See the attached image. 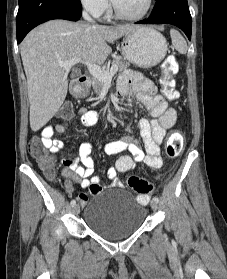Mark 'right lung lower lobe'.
I'll list each match as a JSON object with an SVG mask.
<instances>
[{"label": "right lung lower lobe", "mask_w": 227, "mask_h": 279, "mask_svg": "<svg viewBox=\"0 0 227 279\" xmlns=\"http://www.w3.org/2000/svg\"><path fill=\"white\" fill-rule=\"evenodd\" d=\"M80 0H19L16 17L17 43L37 25L53 19L77 21L81 17Z\"/></svg>", "instance_id": "98d812e1"}]
</instances>
